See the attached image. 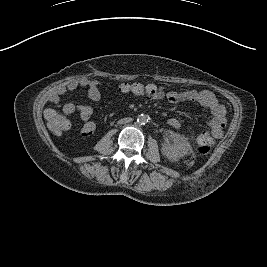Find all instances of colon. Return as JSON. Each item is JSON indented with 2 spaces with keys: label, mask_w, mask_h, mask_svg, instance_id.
<instances>
[{
  "label": "colon",
  "mask_w": 267,
  "mask_h": 267,
  "mask_svg": "<svg viewBox=\"0 0 267 267\" xmlns=\"http://www.w3.org/2000/svg\"><path fill=\"white\" fill-rule=\"evenodd\" d=\"M119 90L123 93L147 95L150 97L162 94V89L155 85L123 84ZM46 117L50 130L56 135H64L71 126L70 120L67 117L53 110H48ZM211 147L212 144L209 138L204 134H200L197 138V152L205 155L210 152Z\"/></svg>",
  "instance_id": "5ec220e1"
}]
</instances>
